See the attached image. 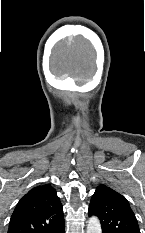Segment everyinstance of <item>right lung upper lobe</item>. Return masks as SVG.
Here are the masks:
<instances>
[{"instance_id":"obj_1","label":"right lung upper lobe","mask_w":145,"mask_h":233,"mask_svg":"<svg viewBox=\"0 0 145 233\" xmlns=\"http://www.w3.org/2000/svg\"><path fill=\"white\" fill-rule=\"evenodd\" d=\"M64 223L63 208L53 187L37 186L18 202L8 233H53Z\"/></svg>"}]
</instances>
